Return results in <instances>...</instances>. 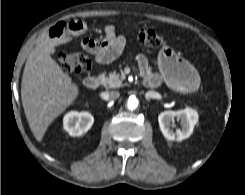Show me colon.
<instances>
[{"instance_id":"colon-1","label":"colon","mask_w":245,"mask_h":195,"mask_svg":"<svg viewBox=\"0 0 245 195\" xmlns=\"http://www.w3.org/2000/svg\"><path fill=\"white\" fill-rule=\"evenodd\" d=\"M138 40L142 45L151 48L161 47L164 44L162 36L148 27L140 29ZM59 63L65 73L80 74L89 69L91 59L84 53L68 51L59 56Z\"/></svg>"}]
</instances>
